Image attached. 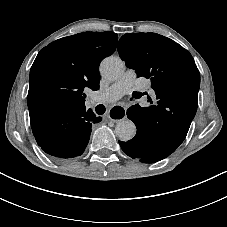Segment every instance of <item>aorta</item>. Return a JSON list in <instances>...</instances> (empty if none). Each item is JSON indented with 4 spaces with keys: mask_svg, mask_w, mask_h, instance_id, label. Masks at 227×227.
Masks as SVG:
<instances>
[{
    "mask_svg": "<svg viewBox=\"0 0 227 227\" xmlns=\"http://www.w3.org/2000/svg\"><path fill=\"white\" fill-rule=\"evenodd\" d=\"M124 70V62L116 56L106 57L100 64V72L108 80L120 78L123 75ZM115 133L120 140L126 142L135 136L136 126L130 120H120L115 127Z\"/></svg>",
    "mask_w": 227,
    "mask_h": 227,
    "instance_id": "obj_1",
    "label": "aorta"
}]
</instances>
